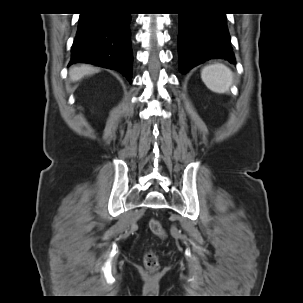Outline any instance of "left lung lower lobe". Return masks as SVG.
I'll return each mask as SVG.
<instances>
[{
  "mask_svg": "<svg viewBox=\"0 0 303 303\" xmlns=\"http://www.w3.org/2000/svg\"><path fill=\"white\" fill-rule=\"evenodd\" d=\"M178 61L181 73L210 59L235 64L223 13L179 14Z\"/></svg>",
  "mask_w": 303,
  "mask_h": 303,
  "instance_id": "0a47b994",
  "label": "left lung lower lobe"
}]
</instances>
